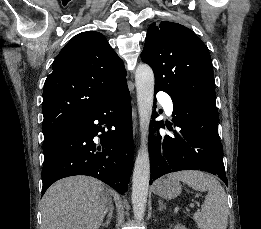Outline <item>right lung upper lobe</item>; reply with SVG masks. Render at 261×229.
Instances as JSON below:
<instances>
[{"label": "right lung upper lobe", "instance_id": "right-lung-upper-lobe-1", "mask_svg": "<svg viewBox=\"0 0 261 229\" xmlns=\"http://www.w3.org/2000/svg\"><path fill=\"white\" fill-rule=\"evenodd\" d=\"M43 90V130L82 120L127 85L123 61L99 32L72 38L56 57Z\"/></svg>", "mask_w": 261, "mask_h": 229}]
</instances>
